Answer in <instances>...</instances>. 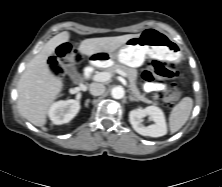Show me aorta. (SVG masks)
<instances>
[{
  "mask_svg": "<svg viewBox=\"0 0 222 187\" xmlns=\"http://www.w3.org/2000/svg\"><path fill=\"white\" fill-rule=\"evenodd\" d=\"M111 95L114 99H121L124 97L125 91L122 87L116 86V87L112 88Z\"/></svg>",
  "mask_w": 222,
  "mask_h": 187,
  "instance_id": "762f6f07",
  "label": "aorta"
}]
</instances>
